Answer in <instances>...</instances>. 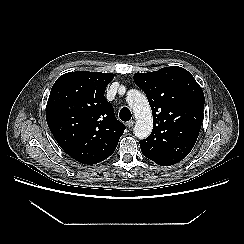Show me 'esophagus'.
I'll return each mask as SVG.
<instances>
[{"label":"esophagus","instance_id":"34e87169","mask_svg":"<svg viewBox=\"0 0 244 244\" xmlns=\"http://www.w3.org/2000/svg\"><path fill=\"white\" fill-rule=\"evenodd\" d=\"M134 123L135 122L133 120H130V121L127 122L126 125H127L128 128H131L134 125Z\"/></svg>","mask_w":244,"mask_h":244}]
</instances>
